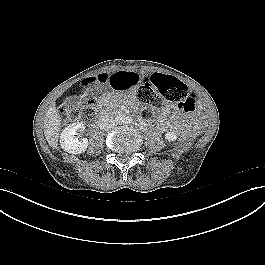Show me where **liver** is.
<instances>
[{"label":"liver","instance_id":"1","mask_svg":"<svg viewBox=\"0 0 265 265\" xmlns=\"http://www.w3.org/2000/svg\"><path fill=\"white\" fill-rule=\"evenodd\" d=\"M61 130V118L55 105L51 106L44 120V135L49 145L56 148L58 145L59 132Z\"/></svg>","mask_w":265,"mask_h":265}]
</instances>
